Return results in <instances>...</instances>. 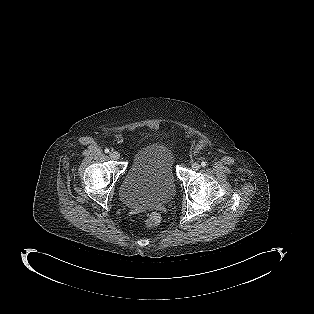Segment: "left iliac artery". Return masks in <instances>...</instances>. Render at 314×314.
<instances>
[{"label":"left iliac artery","instance_id":"44dca946","mask_svg":"<svg viewBox=\"0 0 314 314\" xmlns=\"http://www.w3.org/2000/svg\"><path fill=\"white\" fill-rule=\"evenodd\" d=\"M206 165H207V163L204 162V161L201 163V166H202V167H206Z\"/></svg>","mask_w":314,"mask_h":314}]
</instances>
